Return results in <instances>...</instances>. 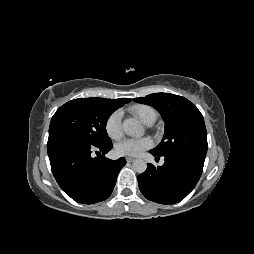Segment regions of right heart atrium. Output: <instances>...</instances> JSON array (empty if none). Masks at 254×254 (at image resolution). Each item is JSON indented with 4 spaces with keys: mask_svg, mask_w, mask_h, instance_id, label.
Instances as JSON below:
<instances>
[{
    "mask_svg": "<svg viewBox=\"0 0 254 254\" xmlns=\"http://www.w3.org/2000/svg\"><path fill=\"white\" fill-rule=\"evenodd\" d=\"M105 131L111 139H119L122 135L121 112L111 113L105 122Z\"/></svg>",
    "mask_w": 254,
    "mask_h": 254,
    "instance_id": "d8ad5b80",
    "label": "right heart atrium"
}]
</instances>
